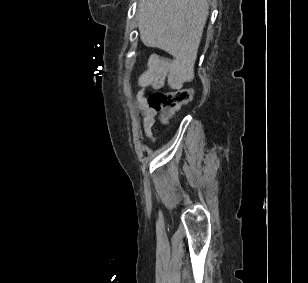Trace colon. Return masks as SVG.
<instances>
[{"instance_id": "1", "label": "colon", "mask_w": 308, "mask_h": 283, "mask_svg": "<svg viewBox=\"0 0 308 283\" xmlns=\"http://www.w3.org/2000/svg\"><path fill=\"white\" fill-rule=\"evenodd\" d=\"M193 89L182 88L169 92H154L146 100L148 106L162 114L161 122L165 123L167 118L174 114L182 105L191 101Z\"/></svg>"}]
</instances>
